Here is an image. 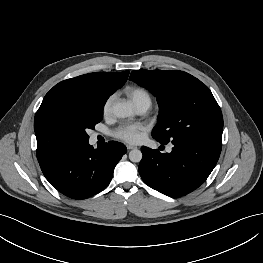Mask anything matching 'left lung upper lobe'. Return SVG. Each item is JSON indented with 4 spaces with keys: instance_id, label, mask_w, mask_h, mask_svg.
<instances>
[{
    "instance_id": "obj_1",
    "label": "left lung upper lobe",
    "mask_w": 263,
    "mask_h": 263,
    "mask_svg": "<svg viewBox=\"0 0 263 263\" xmlns=\"http://www.w3.org/2000/svg\"><path fill=\"white\" fill-rule=\"evenodd\" d=\"M130 79L157 97L160 110L152 136L158 142L222 139L220 107L209 88L194 76L182 71L135 70Z\"/></svg>"
}]
</instances>
